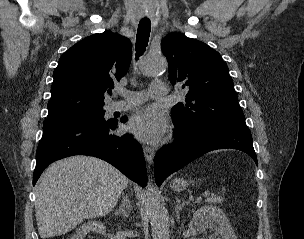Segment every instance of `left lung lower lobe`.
<instances>
[{
    "instance_id": "obj_1",
    "label": "left lung lower lobe",
    "mask_w": 304,
    "mask_h": 239,
    "mask_svg": "<svg viewBox=\"0 0 304 239\" xmlns=\"http://www.w3.org/2000/svg\"><path fill=\"white\" fill-rule=\"evenodd\" d=\"M175 127L176 140L171 146L160 149L155 157L154 175L158 186L166 177L212 150L224 148L241 150L258 165L252 135L247 126L219 125L197 134H188L177 124Z\"/></svg>"
}]
</instances>
